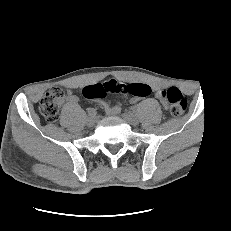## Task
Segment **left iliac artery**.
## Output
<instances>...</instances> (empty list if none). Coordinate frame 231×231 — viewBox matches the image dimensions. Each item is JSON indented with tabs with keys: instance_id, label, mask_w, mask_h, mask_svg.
<instances>
[{
	"instance_id": "obj_1",
	"label": "left iliac artery",
	"mask_w": 231,
	"mask_h": 231,
	"mask_svg": "<svg viewBox=\"0 0 231 231\" xmlns=\"http://www.w3.org/2000/svg\"><path fill=\"white\" fill-rule=\"evenodd\" d=\"M132 110H133V111H136V106H133V107H132Z\"/></svg>"
}]
</instances>
